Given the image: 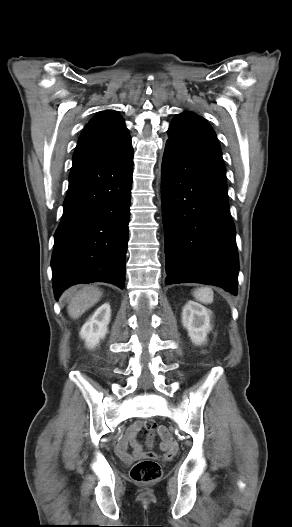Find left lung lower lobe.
Here are the masks:
<instances>
[{
    "label": "left lung lower lobe",
    "instance_id": "0a47b994",
    "mask_svg": "<svg viewBox=\"0 0 292 527\" xmlns=\"http://www.w3.org/2000/svg\"><path fill=\"white\" fill-rule=\"evenodd\" d=\"M166 284L236 294L239 270L223 160L167 143L161 168Z\"/></svg>",
    "mask_w": 292,
    "mask_h": 527
}]
</instances>
